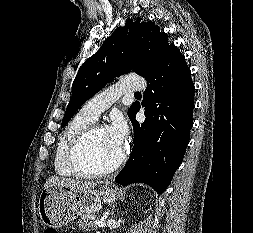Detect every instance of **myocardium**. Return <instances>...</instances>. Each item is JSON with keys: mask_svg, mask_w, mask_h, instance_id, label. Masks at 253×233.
Returning a JSON list of instances; mask_svg holds the SVG:
<instances>
[{"mask_svg": "<svg viewBox=\"0 0 253 233\" xmlns=\"http://www.w3.org/2000/svg\"><path fill=\"white\" fill-rule=\"evenodd\" d=\"M98 127L102 126L96 123H92L71 144L68 152L67 163L70 169L78 176L99 177L108 175L117 170L126 160L127 151L126 148L123 147L118 158L107 167L92 170L82 166L80 161L82 150Z\"/></svg>", "mask_w": 253, "mask_h": 233, "instance_id": "1", "label": "myocardium"}]
</instances>
